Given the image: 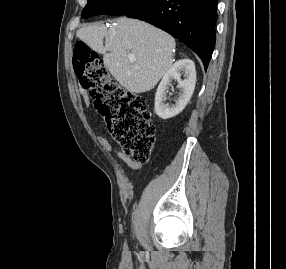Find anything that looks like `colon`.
Listing matches in <instances>:
<instances>
[{
	"instance_id": "obj_1",
	"label": "colon",
	"mask_w": 286,
	"mask_h": 269,
	"mask_svg": "<svg viewBox=\"0 0 286 269\" xmlns=\"http://www.w3.org/2000/svg\"><path fill=\"white\" fill-rule=\"evenodd\" d=\"M73 67L80 85L105 119L113 141L134 161L147 162L156 138L148 100L121 88L84 42H76L73 47Z\"/></svg>"
}]
</instances>
